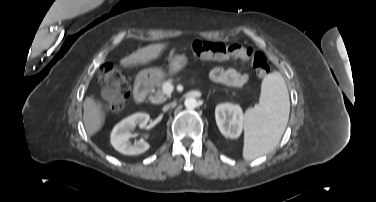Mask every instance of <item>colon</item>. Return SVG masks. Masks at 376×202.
I'll use <instances>...</instances> for the list:
<instances>
[{
	"label": "colon",
	"mask_w": 376,
	"mask_h": 202,
	"mask_svg": "<svg viewBox=\"0 0 376 202\" xmlns=\"http://www.w3.org/2000/svg\"><path fill=\"white\" fill-rule=\"evenodd\" d=\"M190 50L192 56L200 60L241 59L250 62L259 77H265L270 72V66L265 55L254 51L241 42L225 44L223 42L197 40L191 44ZM99 78L102 82L113 84L118 91L117 98L102 104V109L106 112L121 109L130 95L129 84L123 73L114 65L107 63L101 67Z\"/></svg>",
	"instance_id": "colon-1"
}]
</instances>
